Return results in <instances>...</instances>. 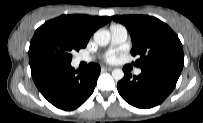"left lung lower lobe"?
Returning <instances> with one entry per match:
<instances>
[{
    "label": "left lung lower lobe",
    "mask_w": 203,
    "mask_h": 123,
    "mask_svg": "<svg viewBox=\"0 0 203 123\" xmlns=\"http://www.w3.org/2000/svg\"><path fill=\"white\" fill-rule=\"evenodd\" d=\"M181 71L166 68L142 69L139 76L124 70V78L117 88L121 97L130 105L147 109L162 103L173 91Z\"/></svg>",
    "instance_id": "left-lung-lower-lobe-1"
}]
</instances>
